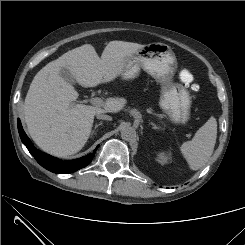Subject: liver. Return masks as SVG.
I'll return each mask as SVG.
<instances>
[{
  "instance_id": "obj_1",
  "label": "liver",
  "mask_w": 245,
  "mask_h": 245,
  "mask_svg": "<svg viewBox=\"0 0 245 245\" xmlns=\"http://www.w3.org/2000/svg\"><path fill=\"white\" fill-rule=\"evenodd\" d=\"M142 46L110 41L99 58L91 44H84L45 65L33 78L23 107L34 142L57 157L79 152L90 136L94 115L117 113L126 100L108 98L103 108L77 104L78 92L61 77V69H68L82 87H95L121 75L127 58Z\"/></svg>"
}]
</instances>
